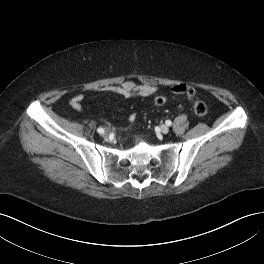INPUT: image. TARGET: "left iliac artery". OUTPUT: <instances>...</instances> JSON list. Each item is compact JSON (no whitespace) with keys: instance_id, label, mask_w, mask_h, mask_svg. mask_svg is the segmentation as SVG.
Instances as JSON below:
<instances>
[{"instance_id":"left-iliac-artery-1","label":"left iliac artery","mask_w":264,"mask_h":264,"mask_svg":"<svg viewBox=\"0 0 264 264\" xmlns=\"http://www.w3.org/2000/svg\"><path fill=\"white\" fill-rule=\"evenodd\" d=\"M166 125H168V126H171L172 125V122L170 121V120H166Z\"/></svg>"}]
</instances>
